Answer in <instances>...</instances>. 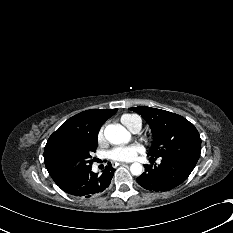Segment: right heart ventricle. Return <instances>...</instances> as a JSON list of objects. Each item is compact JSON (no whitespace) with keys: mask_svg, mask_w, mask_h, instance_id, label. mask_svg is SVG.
Listing matches in <instances>:
<instances>
[{"mask_svg":"<svg viewBox=\"0 0 233 233\" xmlns=\"http://www.w3.org/2000/svg\"><path fill=\"white\" fill-rule=\"evenodd\" d=\"M120 122L130 131L140 129L142 125L141 118L136 114H123L120 117Z\"/></svg>","mask_w":233,"mask_h":233,"instance_id":"1","label":"right heart ventricle"}]
</instances>
